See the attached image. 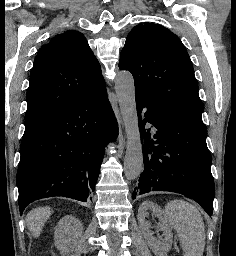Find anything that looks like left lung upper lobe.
I'll return each instance as SVG.
<instances>
[{
    "instance_id": "1",
    "label": "left lung upper lobe",
    "mask_w": 236,
    "mask_h": 256,
    "mask_svg": "<svg viewBox=\"0 0 236 256\" xmlns=\"http://www.w3.org/2000/svg\"><path fill=\"white\" fill-rule=\"evenodd\" d=\"M119 68L132 73L136 95L202 120L204 105L192 62L167 28L148 22L135 26L122 49Z\"/></svg>"
}]
</instances>
